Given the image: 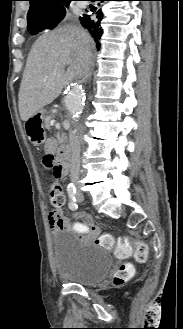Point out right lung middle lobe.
<instances>
[{"instance_id": "right-lung-middle-lobe-1", "label": "right lung middle lobe", "mask_w": 183, "mask_h": 329, "mask_svg": "<svg viewBox=\"0 0 183 329\" xmlns=\"http://www.w3.org/2000/svg\"><path fill=\"white\" fill-rule=\"evenodd\" d=\"M67 5H63V7H61L59 9V13L57 15L56 18H54L51 21H47V22H40V23H32L31 26H28V30L31 34H37L41 31H43L44 29H53L57 26V24L63 19L64 15H65V7L64 6H68Z\"/></svg>"}]
</instances>
